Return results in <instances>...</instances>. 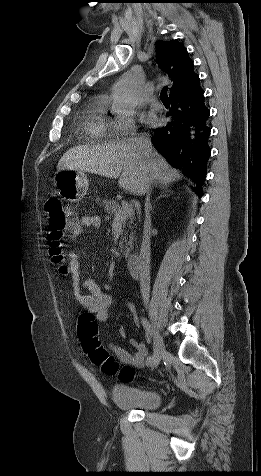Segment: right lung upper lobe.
<instances>
[{"label": "right lung upper lobe", "instance_id": "right-lung-upper-lobe-1", "mask_svg": "<svg viewBox=\"0 0 261 476\" xmlns=\"http://www.w3.org/2000/svg\"><path fill=\"white\" fill-rule=\"evenodd\" d=\"M156 48L160 68L173 81V87L170 90L171 97L188 88L198 76L194 73V65L187 51L177 40L157 41Z\"/></svg>", "mask_w": 261, "mask_h": 476}]
</instances>
